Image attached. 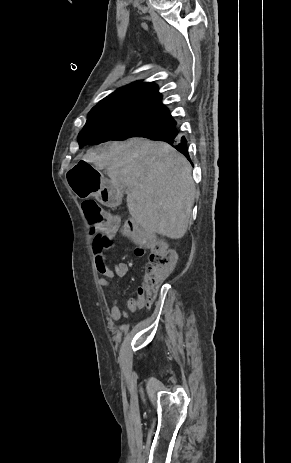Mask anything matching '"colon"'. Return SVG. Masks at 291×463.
I'll return each instance as SVG.
<instances>
[{
	"label": "colon",
	"mask_w": 291,
	"mask_h": 463,
	"mask_svg": "<svg viewBox=\"0 0 291 463\" xmlns=\"http://www.w3.org/2000/svg\"><path fill=\"white\" fill-rule=\"evenodd\" d=\"M82 209L92 232L99 233L103 231L112 235L119 231L125 237L132 240L137 246L141 247L144 252L146 250L150 251L144 281V290L150 301L160 282L164 280L175 267L177 257L174 250L158 243L150 232L139 226L133 220H127L120 225L118 220L95 200L86 199L83 201Z\"/></svg>",
	"instance_id": "1"
}]
</instances>
